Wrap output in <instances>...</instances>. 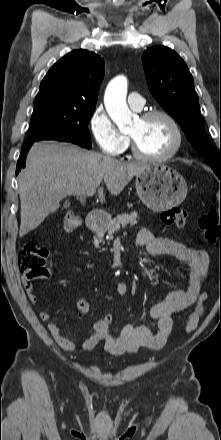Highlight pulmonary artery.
<instances>
[{
  "instance_id": "pulmonary-artery-1",
  "label": "pulmonary artery",
  "mask_w": 221,
  "mask_h": 440,
  "mask_svg": "<svg viewBox=\"0 0 221 440\" xmlns=\"http://www.w3.org/2000/svg\"><path fill=\"white\" fill-rule=\"evenodd\" d=\"M144 98L137 92H131L128 95V104L134 110H141L144 106Z\"/></svg>"
}]
</instances>
